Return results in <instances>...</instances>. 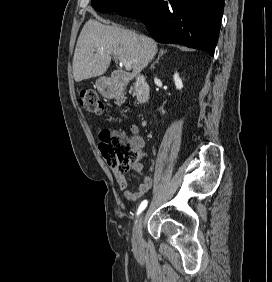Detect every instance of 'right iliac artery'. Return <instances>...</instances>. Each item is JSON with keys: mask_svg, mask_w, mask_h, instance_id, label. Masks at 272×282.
<instances>
[{"mask_svg": "<svg viewBox=\"0 0 272 282\" xmlns=\"http://www.w3.org/2000/svg\"><path fill=\"white\" fill-rule=\"evenodd\" d=\"M147 203H148L147 200H144V201L141 202V204L138 208V211H137V215L140 214L145 209V207L147 206Z\"/></svg>", "mask_w": 272, "mask_h": 282, "instance_id": "82829eb1", "label": "right iliac artery"}]
</instances>
